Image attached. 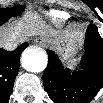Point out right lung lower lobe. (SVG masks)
Segmentation results:
<instances>
[{"instance_id": "98d812e1", "label": "right lung lower lobe", "mask_w": 103, "mask_h": 103, "mask_svg": "<svg viewBox=\"0 0 103 103\" xmlns=\"http://www.w3.org/2000/svg\"><path fill=\"white\" fill-rule=\"evenodd\" d=\"M7 20H0V25ZM28 46L21 44L16 50L8 52L0 49V99L8 100L12 92L14 80L19 70V61L22 51Z\"/></svg>"}]
</instances>
